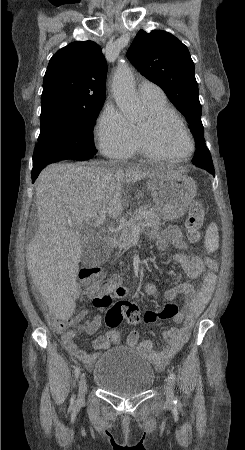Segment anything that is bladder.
I'll return each instance as SVG.
<instances>
[{
	"instance_id": "1",
	"label": "bladder",
	"mask_w": 245,
	"mask_h": 450,
	"mask_svg": "<svg viewBox=\"0 0 245 450\" xmlns=\"http://www.w3.org/2000/svg\"><path fill=\"white\" fill-rule=\"evenodd\" d=\"M156 381L152 365L130 347H115L95 361L92 382L119 396H132L150 389Z\"/></svg>"
}]
</instances>
